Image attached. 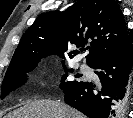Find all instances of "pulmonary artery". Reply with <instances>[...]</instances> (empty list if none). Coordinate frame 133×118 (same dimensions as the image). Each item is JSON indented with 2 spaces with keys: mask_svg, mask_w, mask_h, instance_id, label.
Returning a JSON list of instances; mask_svg holds the SVG:
<instances>
[{
  "mask_svg": "<svg viewBox=\"0 0 133 118\" xmlns=\"http://www.w3.org/2000/svg\"><path fill=\"white\" fill-rule=\"evenodd\" d=\"M79 68L84 73L92 74L91 69L89 68V66L86 63H81L79 65Z\"/></svg>",
  "mask_w": 133,
  "mask_h": 118,
  "instance_id": "pulmonary-artery-1",
  "label": "pulmonary artery"
}]
</instances>
